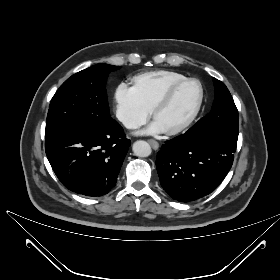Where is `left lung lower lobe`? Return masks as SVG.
I'll return each mask as SVG.
<instances>
[{"label":"left lung lower lobe","mask_w":280,"mask_h":280,"mask_svg":"<svg viewBox=\"0 0 280 280\" xmlns=\"http://www.w3.org/2000/svg\"><path fill=\"white\" fill-rule=\"evenodd\" d=\"M235 150V144L203 132H186L168 140L156 159L160 184L179 202L204 197L228 174Z\"/></svg>","instance_id":"obj_1"}]
</instances>
